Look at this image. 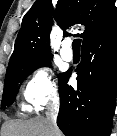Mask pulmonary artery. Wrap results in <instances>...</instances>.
<instances>
[{
  "label": "pulmonary artery",
  "instance_id": "obj_1",
  "mask_svg": "<svg viewBox=\"0 0 117 136\" xmlns=\"http://www.w3.org/2000/svg\"><path fill=\"white\" fill-rule=\"evenodd\" d=\"M61 57L65 60V61H72L73 59V52L70 49V42L66 41L63 45V48L61 50Z\"/></svg>",
  "mask_w": 117,
  "mask_h": 136
}]
</instances>
